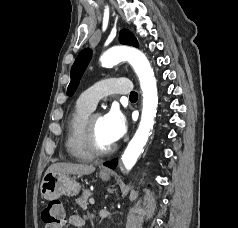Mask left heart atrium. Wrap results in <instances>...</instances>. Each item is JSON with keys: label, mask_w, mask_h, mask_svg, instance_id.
<instances>
[{"label": "left heart atrium", "mask_w": 238, "mask_h": 228, "mask_svg": "<svg viewBox=\"0 0 238 228\" xmlns=\"http://www.w3.org/2000/svg\"><path fill=\"white\" fill-rule=\"evenodd\" d=\"M103 124L109 139L113 143L120 140L127 131L126 117L117 108H111L103 116Z\"/></svg>", "instance_id": "39dd6f15"}]
</instances>
